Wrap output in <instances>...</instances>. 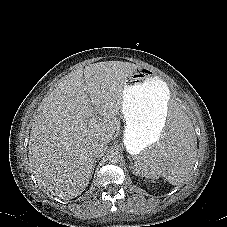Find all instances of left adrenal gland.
Wrapping results in <instances>:
<instances>
[{"mask_svg":"<svg viewBox=\"0 0 227 227\" xmlns=\"http://www.w3.org/2000/svg\"><path fill=\"white\" fill-rule=\"evenodd\" d=\"M130 168L133 169V173H135V170H134V166H133V163H132V160H130Z\"/></svg>","mask_w":227,"mask_h":227,"instance_id":"left-adrenal-gland-1","label":"left adrenal gland"}]
</instances>
